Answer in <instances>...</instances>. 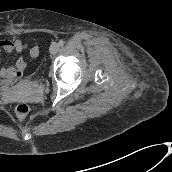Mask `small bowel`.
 Listing matches in <instances>:
<instances>
[{"label": "small bowel", "mask_w": 172, "mask_h": 172, "mask_svg": "<svg viewBox=\"0 0 172 172\" xmlns=\"http://www.w3.org/2000/svg\"><path fill=\"white\" fill-rule=\"evenodd\" d=\"M26 48V44L19 39H0V53L15 52L16 54L21 55ZM29 53L32 57H37L39 54V46H33L29 50ZM26 66V61L20 56L14 64L0 67V81L5 85L12 84L22 76Z\"/></svg>", "instance_id": "c3829d8e"}]
</instances>
